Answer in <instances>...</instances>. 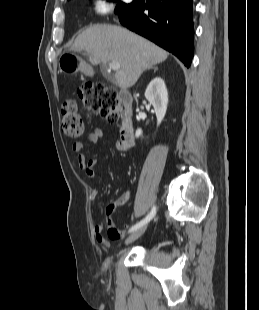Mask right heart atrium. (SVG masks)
Instances as JSON below:
<instances>
[{"instance_id":"obj_1","label":"right heart atrium","mask_w":259,"mask_h":310,"mask_svg":"<svg viewBox=\"0 0 259 310\" xmlns=\"http://www.w3.org/2000/svg\"><path fill=\"white\" fill-rule=\"evenodd\" d=\"M115 9L113 0H91L89 10L93 15L106 16L112 13Z\"/></svg>"}]
</instances>
